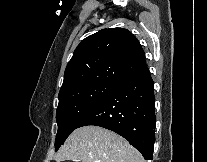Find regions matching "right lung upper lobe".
Segmentation results:
<instances>
[{"instance_id": "1", "label": "right lung upper lobe", "mask_w": 207, "mask_h": 162, "mask_svg": "<svg viewBox=\"0 0 207 162\" xmlns=\"http://www.w3.org/2000/svg\"><path fill=\"white\" fill-rule=\"evenodd\" d=\"M145 67L144 51L132 33L123 28L104 29L77 46L59 95L88 85H116Z\"/></svg>"}]
</instances>
